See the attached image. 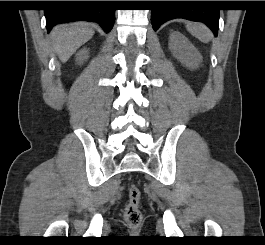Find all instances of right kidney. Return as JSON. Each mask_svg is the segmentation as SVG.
Segmentation results:
<instances>
[{
  "instance_id": "ca27d5eb",
  "label": "right kidney",
  "mask_w": 265,
  "mask_h": 245,
  "mask_svg": "<svg viewBox=\"0 0 265 245\" xmlns=\"http://www.w3.org/2000/svg\"><path fill=\"white\" fill-rule=\"evenodd\" d=\"M88 58V50L87 49H83L81 51H79L76 55V61L78 63H83L84 60H86Z\"/></svg>"
}]
</instances>
